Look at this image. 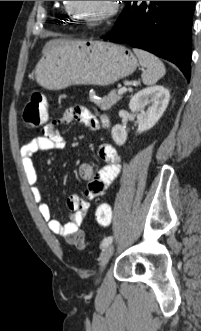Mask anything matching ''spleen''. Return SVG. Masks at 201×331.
<instances>
[{
    "instance_id": "3e777b00",
    "label": "spleen",
    "mask_w": 201,
    "mask_h": 331,
    "mask_svg": "<svg viewBox=\"0 0 201 331\" xmlns=\"http://www.w3.org/2000/svg\"><path fill=\"white\" fill-rule=\"evenodd\" d=\"M133 51L140 64L145 68L141 75L145 85H153L165 75V66L157 56L137 48H133Z\"/></svg>"
}]
</instances>
